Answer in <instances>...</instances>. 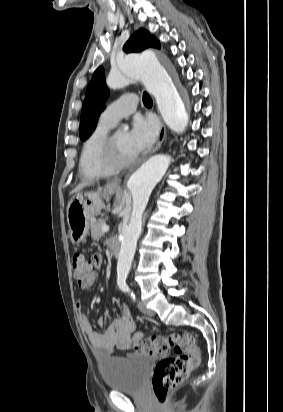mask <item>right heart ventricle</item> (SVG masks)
Returning <instances> with one entry per match:
<instances>
[{
  "instance_id": "1",
  "label": "right heart ventricle",
  "mask_w": 283,
  "mask_h": 412,
  "mask_svg": "<svg viewBox=\"0 0 283 412\" xmlns=\"http://www.w3.org/2000/svg\"><path fill=\"white\" fill-rule=\"evenodd\" d=\"M111 125L99 120L83 143L79 158V173L83 179L107 176L114 171L106 167L102 161V152L109 136Z\"/></svg>"
}]
</instances>
